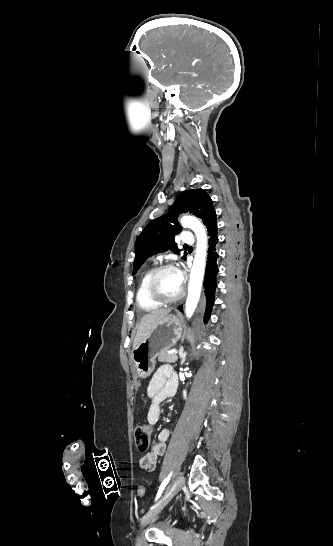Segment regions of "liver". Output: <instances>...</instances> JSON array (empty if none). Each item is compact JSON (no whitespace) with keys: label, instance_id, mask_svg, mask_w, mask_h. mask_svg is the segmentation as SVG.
Masks as SVG:
<instances>
[{"label":"liver","instance_id":"1","mask_svg":"<svg viewBox=\"0 0 333 546\" xmlns=\"http://www.w3.org/2000/svg\"><path fill=\"white\" fill-rule=\"evenodd\" d=\"M171 309H157L144 315L138 325L137 333L133 342V349L147 339L153 329L160 323L169 313Z\"/></svg>","mask_w":333,"mask_h":546}]
</instances>
